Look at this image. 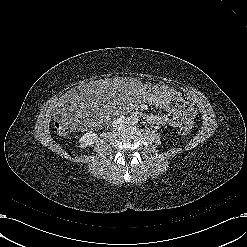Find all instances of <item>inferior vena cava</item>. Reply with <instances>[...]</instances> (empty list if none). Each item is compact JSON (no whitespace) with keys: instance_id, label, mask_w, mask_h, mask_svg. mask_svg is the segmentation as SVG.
<instances>
[{"instance_id":"inferior-vena-cava-1","label":"inferior vena cava","mask_w":247,"mask_h":247,"mask_svg":"<svg viewBox=\"0 0 247 247\" xmlns=\"http://www.w3.org/2000/svg\"><path fill=\"white\" fill-rule=\"evenodd\" d=\"M126 122V119L124 117H119V118H116L113 122H112V125L113 126H119V125H122Z\"/></svg>"}]
</instances>
